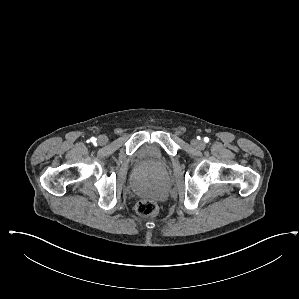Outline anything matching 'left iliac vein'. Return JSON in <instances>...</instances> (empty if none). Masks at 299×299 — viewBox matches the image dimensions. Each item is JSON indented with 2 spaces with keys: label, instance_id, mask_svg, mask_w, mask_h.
I'll list each match as a JSON object with an SVG mask.
<instances>
[{
  "label": "left iliac vein",
  "instance_id": "obj_1",
  "mask_svg": "<svg viewBox=\"0 0 299 299\" xmlns=\"http://www.w3.org/2000/svg\"><path fill=\"white\" fill-rule=\"evenodd\" d=\"M192 145L197 149H204L205 143L202 140L194 139L192 140Z\"/></svg>",
  "mask_w": 299,
  "mask_h": 299
}]
</instances>
